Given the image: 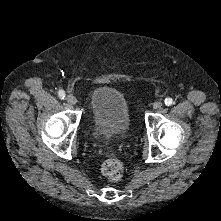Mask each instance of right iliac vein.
I'll return each mask as SVG.
<instances>
[{"instance_id": "1", "label": "right iliac vein", "mask_w": 221, "mask_h": 221, "mask_svg": "<svg viewBox=\"0 0 221 221\" xmlns=\"http://www.w3.org/2000/svg\"><path fill=\"white\" fill-rule=\"evenodd\" d=\"M66 100L69 104H72V105L76 104V102H77L76 97L72 94L68 95Z\"/></svg>"}]
</instances>
